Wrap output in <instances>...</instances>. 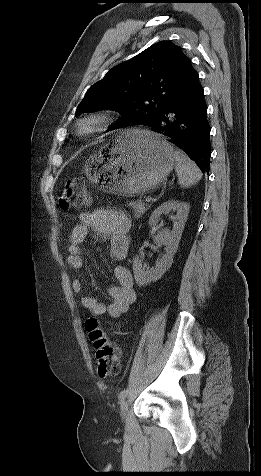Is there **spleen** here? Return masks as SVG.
<instances>
[{"mask_svg":"<svg viewBox=\"0 0 261 476\" xmlns=\"http://www.w3.org/2000/svg\"><path fill=\"white\" fill-rule=\"evenodd\" d=\"M175 170L178 176V183L186 188L196 184L202 178V172L197 165L189 159L182 151H174Z\"/></svg>","mask_w":261,"mask_h":476,"instance_id":"1","label":"spleen"}]
</instances>
